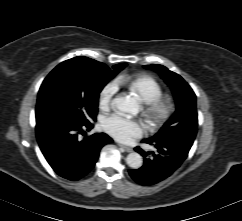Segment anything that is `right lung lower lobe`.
I'll use <instances>...</instances> for the list:
<instances>
[{
    "label": "right lung lower lobe",
    "mask_w": 242,
    "mask_h": 221,
    "mask_svg": "<svg viewBox=\"0 0 242 221\" xmlns=\"http://www.w3.org/2000/svg\"><path fill=\"white\" fill-rule=\"evenodd\" d=\"M93 124L61 118L36 121V136L40 149L53 170L63 178L76 181L95 166L101 148L113 140L105 133L79 138Z\"/></svg>",
    "instance_id": "obj_1"
}]
</instances>
